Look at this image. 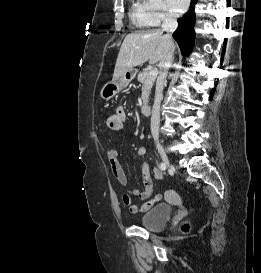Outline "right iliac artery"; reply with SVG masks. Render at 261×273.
Segmentation results:
<instances>
[{
    "mask_svg": "<svg viewBox=\"0 0 261 273\" xmlns=\"http://www.w3.org/2000/svg\"><path fill=\"white\" fill-rule=\"evenodd\" d=\"M160 169L163 170V171L166 169V166H165L164 163H160Z\"/></svg>",
    "mask_w": 261,
    "mask_h": 273,
    "instance_id": "1",
    "label": "right iliac artery"
}]
</instances>
